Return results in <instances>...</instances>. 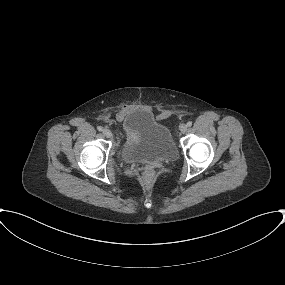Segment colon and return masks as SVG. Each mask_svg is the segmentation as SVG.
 Here are the masks:
<instances>
[{"instance_id": "1", "label": "colon", "mask_w": 285, "mask_h": 285, "mask_svg": "<svg viewBox=\"0 0 285 285\" xmlns=\"http://www.w3.org/2000/svg\"><path fill=\"white\" fill-rule=\"evenodd\" d=\"M145 177H146V179H151L153 177V171L151 169H148L145 172Z\"/></svg>"}]
</instances>
